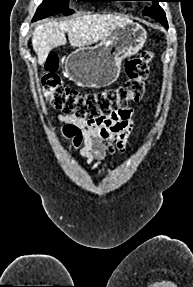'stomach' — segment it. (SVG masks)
<instances>
[{
	"mask_svg": "<svg viewBox=\"0 0 193 287\" xmlns=\"http://www.w3.org/2000/svg\"><path fill=\"white\" fill-rule=\"evenodd\" d=\"M143 26L129 22L116 27L95 47H79L65 63L67 77L87 88L111 85L120 74L124 58L138 53L146 43Z\"/></svg>",
	"mask_w": 193,
	"mask_h": 287,
	"instance_id": "1",
	"label": "stomach"
}]
</instances>
